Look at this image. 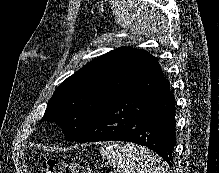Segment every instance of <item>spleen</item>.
I'll list each match as a JSON object with an SVG mask.
<instances>
[{
    "mask_svg": "<svg viewBox=\"0 0 219 173\" xmlns=\"http://www.w3.org/2000/svg\"><path fill=\"white\" fill-rule=\"evenodd\" d=\"M102 158L121 173H169L161 158L150 150L132 143L119 142L101 146Z\"/></svg>",
    "mask_w": 219,
    "mask_h": 173,
    "instance_id": "obj_1",
    "label": "spleen"
}]
</instances>
